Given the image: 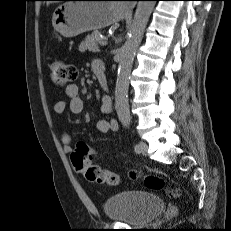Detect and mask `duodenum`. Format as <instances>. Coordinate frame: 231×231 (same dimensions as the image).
<instances>
[{
	"mask_svg": "<svg viewBox=\"0 0 231 231\" xmlns=\"http://www.w3.org/2000/svg\"><path fill=\"white\" fill-rule=\"evenodd\" d=\"M94 73L96 75V78L100 84V86L104 89L108 88V82H107V77H106V73H105V66L100 63L96 66H94Z\"/></svg>",
	"mask_w": 231,
	"mask_h": 231,
	"instance_id": "obj_1",
	"label": "duodenum"
}]
</instances>
